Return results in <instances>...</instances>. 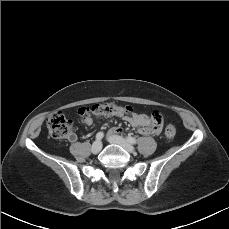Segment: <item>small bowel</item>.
<instances>
[{"label": "small bowel", "instance_id": "small-bowel-1", "mask_svg": "<svg viewBox=\"0 0 229 229\" xmlns=\"http://www.w3.org/2000/svg\"><path fill=\"white\" fill-rule=\"evenodd\" d=\"M125 121H127L129 124H131L134 127H139V133L141 135H149L151 133H154V130H151L146 127V125L149 123L148 115L143 113H131V114H121L120 115ZM84 124L87 126H91L93 124V119L91 117H86L83 120ZM121 132V128L119 127H112L109 130V134H118ZM71 139H75V136L72 135Z\"/></svg>", "mask_w": 229, "mask_h": 229}]
</instances>
